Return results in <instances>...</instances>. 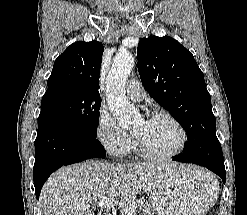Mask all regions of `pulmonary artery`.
Segmentation results:
<instances>
[{
	"instance_id": "e3ab8cb5",
	"label": "pulmonary artery",
	"mask_w": 247,
	"mask_h": 215,
	"mask_svg": "<svg viewBox=\"0 0 247 215\" xmlns=\"http://www.w3.org/2000/svg\"><path fill=\"white\" fill-rule=\"evenodd\" d=\"M126 93H127V96L132 101H135V102L142 101L146 96V92L142 84L137 79H131L127 82Z\"/></svg>"
}]
</instances>
